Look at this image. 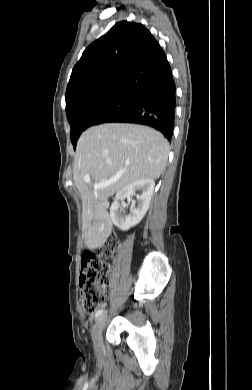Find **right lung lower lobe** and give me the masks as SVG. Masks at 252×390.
Returning <instances> with one entry per match:
<instances>
[{
	"instance_id": "obj_1",
	"label": "right lung lower lobe",
	"mask_w": 252,
	"mask_h": 390,
	"mask_svg": "<svg viewBox=\"0 0 252 390\" xmlns=\"http://www.w3.org/2000/svg\"><path fill=\"white\" fill-rule=\"evenodd\" d=\"M176 88L172 73L142 87L132 104L106 122H126L151 126L170 141L173 135Z\"/></svg>"
}]
</instances>
